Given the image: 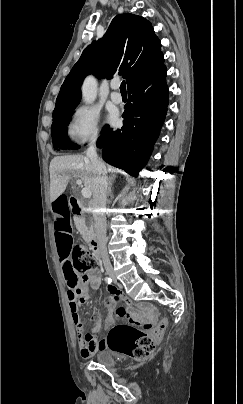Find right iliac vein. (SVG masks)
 <instances>
[{
	"label": "right iliac vein",
	"instance_id": "1",
	"mask_svg": "<svg viewBox=\"0 0 243 404\" xmlns=\"http://www.w3.org/2000/svg\"><path fill=\"white\" fill-rule=\"evenodd\" d=\"M109 276L112 277L113 279H116V274L113 271L109 272Z\"/></svg>",
	"mask_w": 243,
	"mask_h": 404
}]
</instances>
